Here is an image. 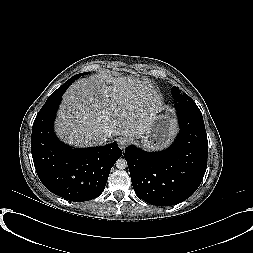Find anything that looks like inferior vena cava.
<instances>
[{
	"label": "inferior vena cava",
	"mask_w": 253,
	"mask_h": 253,
	"mask_svg": "<svg viewBox=\"0 0 253 253\" xmlns=\"http://www.w3.org/2000/svg\"><path fill=\"white\" fill-rule=\"evenodd\" d=\"M108 136L107 135H103V136H100L98 141L100 144H103V143H106L108 141Z\"/></svg>",
	"instance_id": "602c4592"
}]
</instances>
